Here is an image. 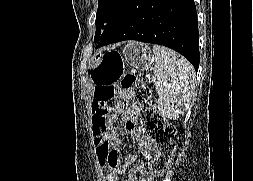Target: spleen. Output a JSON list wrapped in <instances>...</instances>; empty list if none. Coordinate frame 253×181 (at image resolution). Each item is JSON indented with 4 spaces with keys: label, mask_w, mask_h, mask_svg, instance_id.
<instances>
[{
    "label": "spleen",
    "mask_w": 253,
    "mask_h": 181,
    "mask_svg": "<svg viewBox=\"0 0 253 181\" xmlns=\"http://www.w3.org/2000/svg\"><path fill=\"white\" fill-rule=\"evenodd\" d=\"M157 108L163 117L179 118L188 108L194 88V67L182 56L166 47L153 46Z\"/></svg>",
    "instance_id": "1"
}]
</instances>
